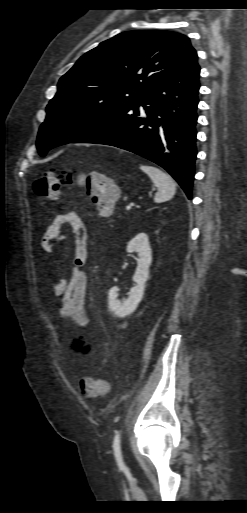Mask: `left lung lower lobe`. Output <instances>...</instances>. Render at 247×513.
Segmentation results:
<instances>
[{
    "instance_id": "0a47b994",
    "label": "left lung lower lobe",
    "mask_w": 247,
    "mask_h": 513,
    "mask_svg": "<svg viewBox=\"0 0 247 513\" xmlns=\"http://www.w3.org/2000/svg\"><path fill=\"white\" fill-rule=\"evenodd\" d=\"M199 72L197 56L192 57L177 75L70 143L111 145L147 158L166 169L192 199Z\"/></svg>"
}]
</instances>
